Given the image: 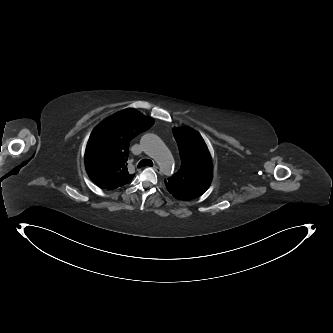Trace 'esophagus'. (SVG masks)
Wrapping results in <instances>:
<instances>
[{"label":"esophagus","instance_id":"obj_1","mask_svg":"<svg viewBox=\"0 0 333 333\" xmlns=\"http://www.w3.org/2000/svg\"><path fill=\"white\" fill-rule=\"evenodd\" d=\"M153 169L157 172V173H161V169L158 166H154Z\"/></svg>","mask_w":333,"mask_h":333}]
</instances>
